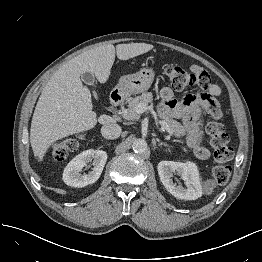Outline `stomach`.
<instances>
[{"label":"stomach","instance_id":"obj_1","mask_svg":"<svg viewBox=\"0 0 262 262\" xmlns=\"http://www.w3.org/2000/svg\"><path fill=\"white\" fill-rule=\"evenodd\" d=\"M153 69L145 68L135 74L122 76L116 89L122 95H131L147 91L154 81Z\"/></svg>","mask_w":262,"mask_h":262}]
</instances>
